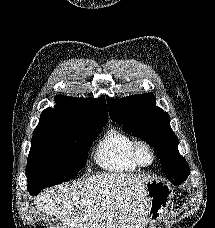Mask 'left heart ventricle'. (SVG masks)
<instances>
[{"label": "left heart ventricle", "mask_w": 215, "mask_h": 228, "mask_svg": "<svg viewBox=\"0 0 215 228\" xmlns=\"http://www.w3.org/2000/svg\"><path fill=\"white\" fill-rule=\"evenodd\" d=\"M141 160H142L144 163H149V162L151 161V156H150V154H149L147 151L143 150V151L141 152Z\"/></svg>", "instance_id": "left-heart-ventricle-1"}]
</instances>
